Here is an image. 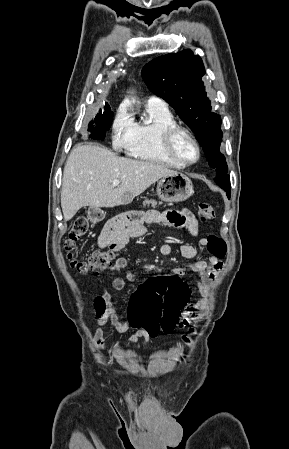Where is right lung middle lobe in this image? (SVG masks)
<instances>
[{"label":"right lung middle lobe","mask_w":289,"mask_h":449,"mask_svg":"<svg viewBox=\"0 0 289 449\" xmlns=\"http://www.w3.org/2000/svg\"><path fill=\"white\" fill-rule=\"evenodd\" d=\"M113 112L110 106L107 104L105 106V111L102 113L100 110L96 115L92 125L89 126L88 130L91 132L90 137L96 140L104 139L106 131L110 129L112 124Z\"/></svg>","instance_id":"right-lung-middle-lobe-1"}]
</instances>
